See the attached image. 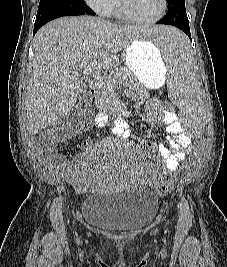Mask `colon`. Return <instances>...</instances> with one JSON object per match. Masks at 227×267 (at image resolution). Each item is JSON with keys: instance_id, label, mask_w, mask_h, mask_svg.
Segmentation results:
<instances>
[{"instance_id": "5ec220e1", "label": "colon", "mask_w": 227, "mask_h": 267, "mask_svg": "<svg viewBox=\"0 0 227 267\" xmlns=\"http://www.w3.org/2000/svg\"><path fill=\"white\" fill-rule=\"evenodd\" d=\"M88 109L89 105L87 103H81L76 113L75 122H81ZM163 109H166V113H175V105L172 104L171 100L163 101ZM70 127V123L66 121L55 123L46 134L38 138V141L48 146V148L53 147L69 135ZM184 171H188V161H179L177 169H163L157 184L158 192L162 194L170 193L174 186V178H180Z\"/></svg>"}]
</instances>
